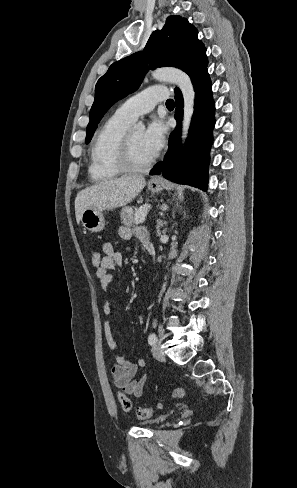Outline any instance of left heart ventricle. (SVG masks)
Instances as JSON below:
<instances>
[{
  "mask_svg": "<svg viewBox=\"0 0 297 488\" xmlns=\"http://www.w3.org/2000/svg\"><path fill=\"white\" fill-rule=\"evenodd\" d=\"M143 133L142 131L130 133L131 159L137 166L145 165L153 158L143 144Z\"/></svg>",
  "mask_w": 297,
  "mask_h": 488,
  "instance_id": "obj_1",
  "label": "left heart ventricle"
}]
</instances>
